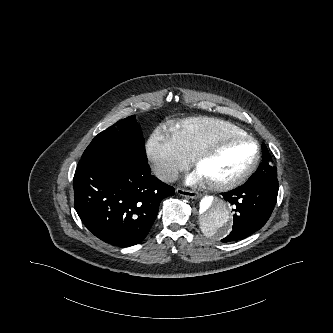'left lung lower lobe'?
Here are the masks:
<instances>
[{"mask_svg": "<svg viewBox=\"0 0 333 333\" xmlns=\"http://www.w3.org/2000/svg\"><path fill=\"white\" fill-rule=\"evenodd\" d=\"M262 152L268 155L266 145L262 144ZM225 200L233 205L234 224L231 233L222 242L244 239L262 228L268 221L278 195V185L254 183L244 185L222 193Z\"/></svg>", "mask_w": 333, "mask_h": 333, "instance_id": "1", "label": "left lung lower lobe"}]
</instances>
